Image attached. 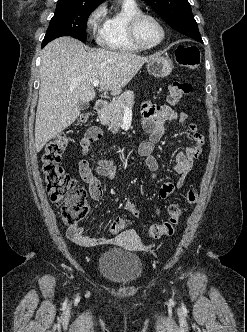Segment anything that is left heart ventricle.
I'll return each mask as SVG.
<instances>
[{
  "label": "left heart ventricle",
  "instance_id": "b2bd125f",
  "mask_svg": "<svg viewBox=\"0 0 247 332\" xmlns=\"http://www.w3.org/2000/svg\"><path fill=\"white\" fill-rule=\"evenodd\" d=\"M138 37L145 45L154 44L161 38V29L152 18H144L138 26Z\"/></svg>",
  "mask_w": 247,
  "mask_h": 332
}]
</instances>
